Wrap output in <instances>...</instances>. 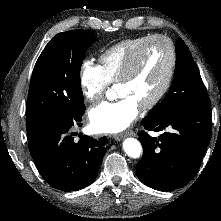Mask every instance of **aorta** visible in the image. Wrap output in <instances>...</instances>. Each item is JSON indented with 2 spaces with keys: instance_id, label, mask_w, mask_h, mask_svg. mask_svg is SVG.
<instances>
[{
  "instance_id": "1",
  "label": "aorta",
  "mask_w": 221,
  "mask_h": 221,
  "mask_svg": "<svg viewBox=\"0 0 221 221\" xmlns=\"http://www.w3.org/2000/svg\"><path fill=\"white\" fill-rule=\"evenodd\" d=\"M123 150L131 158H138L142 153V146L137 139L126 138L123 141Z\"/></svg>"
}]
</instances>
